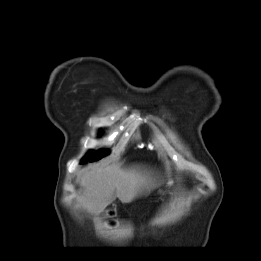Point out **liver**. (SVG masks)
I'll list each match as a JSON object with an SVG mask.
<instances>
[{
  "label": "liver",
  "instance_id": "6515ba94",
  "mask_svg": "<svg viewBox=\"0 0 261 261\" xmlns=\"http://www.w3.org/2000/svg\"><path fill=\"white\" fill-rule=\"evenodd\" d=\"M78 182L83 188L79 204L94 214L103 212L116 198L130 203L157 186L151 172L140 167L122 168L119 164L86 167L78 175Z\"/></svg>",
  "mask_w": 261,
  "mask_h": 261
}]
</instances>
